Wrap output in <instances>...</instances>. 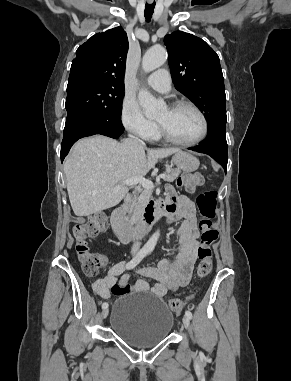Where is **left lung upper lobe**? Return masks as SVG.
I'll return each mask as SVG.
<instances>
[{
  "label": "left lung upper lobe",
  "instance_id": "1",
  "mask_svg": "<svg viewBox=\"0 0 291 381\" xmlns=\"http://www.w3.org/2000/svg\"><path fill=\"white\" fill-rule=\"evenodd\" d=\"M164 43L172 81L204 113L207 138L226 136V95L218 55L204 40L182 31L166 35Z\"/></svg>",
  "mask_w": 291,
  "mask_h": 381
}]
</instances>
